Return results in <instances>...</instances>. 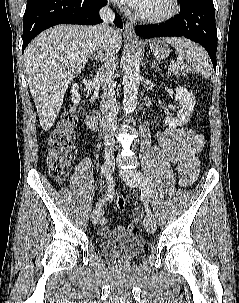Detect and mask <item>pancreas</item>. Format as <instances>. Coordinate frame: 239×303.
<instances>
[{"label": "pancreas", "instance_id": "1", "mask_svg": "<svg viewBox=\"0 0 239 303\" xmlns=\"http://www.w3.org/2000/svg\"><path fill=\"white\" fill-rule=\"evenodd\" d=\"M172 72L175 75H182L183 77H186L187 74L191 72V69L188 68L185 64L179 63L176 67L172 68Z\"/></svg>", "mask_w": 239, "mask_h": 303}]
</instances>
